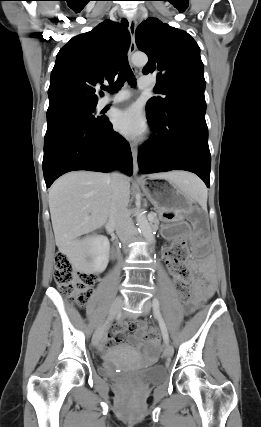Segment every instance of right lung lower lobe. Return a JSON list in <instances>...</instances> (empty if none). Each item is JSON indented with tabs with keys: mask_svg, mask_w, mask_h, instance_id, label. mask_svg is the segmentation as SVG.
Here are the masks:
<instances>
[{
	"mask_svg": "<svg viewBox=\"0 0 261 427\" xmlns=\"http://www.w3.org/2000/svg\"><path fill=\"white\" fill-rule=\"evenodd\" d=\"M42 166L47 187L74 170L108 172L120 168L133 174L130 147L107 119L98 123L75 118L49 122Z\"/></svg>",
	"mask_w": 261,
	"mask_h": 427,
	"instance_id": "right-lung-lower-lobe-1",
	"label": "right lung lower lobe"
}]
</instances>
